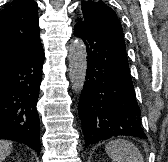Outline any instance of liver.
<instances>
[{"label":"liver","instance_id":"liver-1","mask_svg":"<svg viewBox=\"0 0 168 162\" xmlns=\"http://www.w3.org/2000/svg\"><path fill=\"white\" fill-rule=\"evenodd\" d=\"M12 142L0 140V162H2L11 152Z\"/></svg>","mask_w":168,"mask_h":162}]
</instances>
